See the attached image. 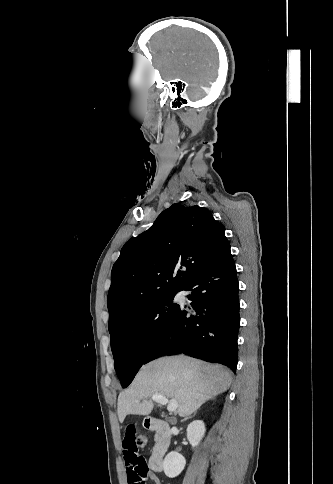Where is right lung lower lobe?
<instances>
[{
    "label": "right lung lower lobe",
    "mask_w": 333,
    "mask_h": 484,
    "mask_svg": "<svg viewBox=\"0 0 333 484\" xmlns=\"http://www.w3.org/2000/svg\"><path fill=\"white\" fill-rule=\"evenodd\" d=\"M182 290L191 292L188 299L195 312L179 306L142 364L183 353L222 363L236 372L239 285L230 244Z\"/></svg>",
    "instance_id": "98d812e1"
}]
</instances>
